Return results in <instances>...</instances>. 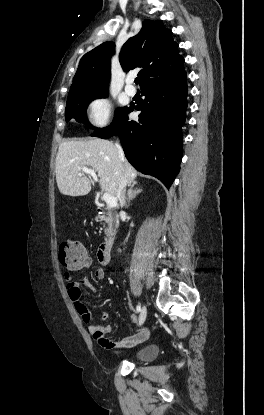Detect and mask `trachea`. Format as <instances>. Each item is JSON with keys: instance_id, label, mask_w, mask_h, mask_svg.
<instances>
[{"instance_id": "3493384b", "label": "trachea", "mask_w": 264, "mask_h": 415, "mask_svg": "<svg viewBox=\"0 0 264 415\" xmlns=\"http://www.w3.org/2000/svg\"><path fill=\"white\" fill-rule=\"evenodd\" d=\"M134 82H135V84H138L139 83V79L136 78Z\"/></svg>"}]
</instances>
